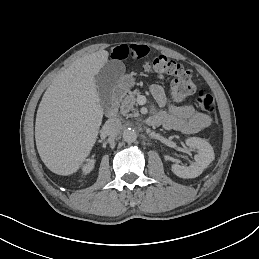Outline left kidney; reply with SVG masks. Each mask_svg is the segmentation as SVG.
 Returning a JSON list of instances; mask_svg holds the SVG:
<instances>
[{"mask_svg":"<svg viewBox=\"0 0 259 259\" xmlns=\"http://www.w3.org/2000/svg\"><path fill=\"white\" fill-rule=\"evenodd\" d=\"M186 145L198 149V154L195 155V162L189 167L173 164L172 172L181 178H195L214 160V151L207 141L197 137L186 139Z\"/></svg>","mask_w":259,"mask_h":259,"instance_id":"5707ae66","label":"left kidney"}]
</instances>
